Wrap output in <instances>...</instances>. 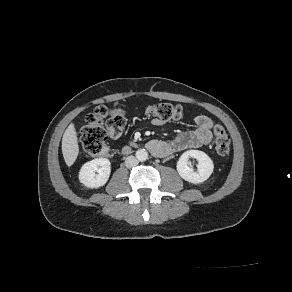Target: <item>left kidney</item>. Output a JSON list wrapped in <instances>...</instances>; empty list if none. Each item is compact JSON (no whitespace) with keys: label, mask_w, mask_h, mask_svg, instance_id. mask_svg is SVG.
<instances>
[{"label":"left kidney","mask_w":292,"mask_h":292,"mask_svg":"<svg viewBox=\"0 0 292 292\" xmlns=\"http://www.w3.org/2000/svg\"><path fill=\"white\" fill-rule=\"evenodd\" d=\"M190 157H193L198 161L197 172H194L193 169L189 167ZM176 167L181 178L193 184H199L206 181L214 169L211 158L206 153L199 150H188L184 152L179 158Z\"/></svg>","instance_id":"obj_1"}]
</instances>
